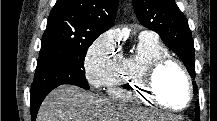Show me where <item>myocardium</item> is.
Masks as SVG:
<instances>
[{"label": "myocardium", "mask_w": 217, "mask_h": 121, "mask_svg": "<svg viewBox=\"0 0 217 121\" xmlns=\"http://www.w3.org/2000/svg\"><path fill=\"white\" fill-rule=\"evenodd\" d=\"M172 65L176 67L183 75L186 84H187V90H188V98L183 107L177 108L173 107L169 104H167L158 94L156 89V77L158 73L164 69L165 67ZM143 89L146 95L156 104L160 105L161 107H164L172 112H182L186 110L190 104L193 101V83L191 80V77L185 68V66L178 61L177 59L171 57V56H164L161 57L154 62H152L146 69L143 77Z\"/></svg>", "instance_id": "f54148a6"}]
</instances>
